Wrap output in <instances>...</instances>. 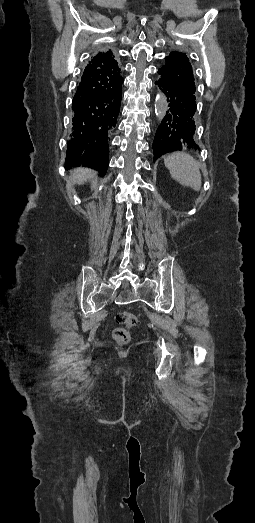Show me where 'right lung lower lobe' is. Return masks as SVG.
Wrapping results in <instances>:
<instances>
[{"label": "right lung lower lobe", "instance_id": "98d812e1", "mask_svg": "<svg viewBox=\"0 0 255 523\" xmlns=\"http://www.w3.org/2000/svg\"><path fill=\"white\" fill-rule=\"evenodd\" d=\"M79 112L83 114V136L85 138H97L100 132V98L92 96L89 101L81 100ZM83 152L87 155L94 152V141L92 139L83 141Z\"/></svg>", "mask_w": 255, "mask_h": 523}]
</instances>
